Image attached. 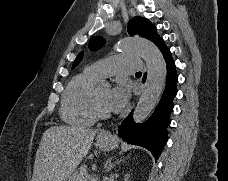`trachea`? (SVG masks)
I'll list each match as a JSON object with an SVG mask.
<instances>
[{
	"instance_id": "trachea-1",
	"label": "trachea",
	"mask_w": 228,
	"mask_h": 181,
	"mask_svg": "<svg viewBox=\"0 0 228 181\" xmlns=\"http://www.w3.org/2000/svg\"><path fill=\"white\" fill-rule=\"evenodd\" d=\"M136 75H142L141 71H138V72L136 73Z\"/></svg>"
}]
</instances>
